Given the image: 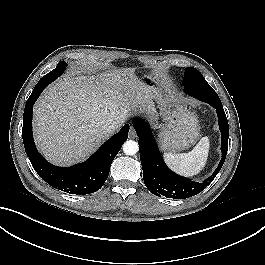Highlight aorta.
I'll return each instance as SVG.
<instances>
[{"label": "aorta", "mask_w": 265, "mask_h": 265, "mask_svg": "<svg viewBox=\"0 0 265 265\" xmlns=\"http://www.w3.org/2000/svg\"><path fill=\"white\" fill-rule=\"evenodd\" d=\"M138 143L133 140H128L123 144V152L126 155H134L138 152Z\"/></svg>", "instance_id": "aorta-1"}]
</instances>
